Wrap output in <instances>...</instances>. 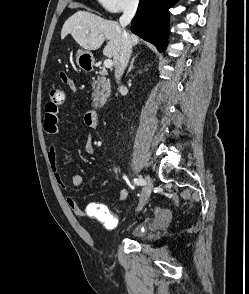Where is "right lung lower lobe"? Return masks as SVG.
Instances as JSON below:
<instances>
[{
  "label": "right lung lower lobe",
  "instance_id": "1",
  "mask_svg": "<svg viewBox=\"0 0 249 294\" xmlns=\"http://www.w3.org/2000/svg\"><path fill=\"white\" fill-rule=\"evenodd\" d=\"M177 0H140L131 31L153 43L159 51L166 46L169 8Z\"/></svg>",
  "mask_w": 249,
  "mask_h": 294
}]
</instances>
